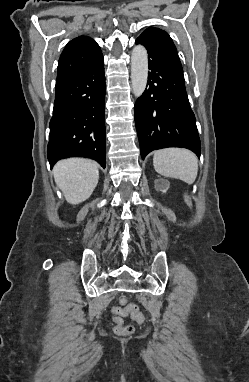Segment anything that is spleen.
I'll return each mask as SVG.
<instances>
[{"mask_svg": "<svg viewBox=\"0 0 249 382\" xmlns=\"http://www.w3.org/2000/svg\"><path fill=\"white\" fill-rule=\"evenodd\" d=\"M153 165L160 175L180 179L188 184L194 183L198 174V159L187 149L157 150L154 152Z\"/></svg>", "mask_w": 249, "mask_h": 382, "instance_id": "1", "label": "spleen"}]
</instances>
